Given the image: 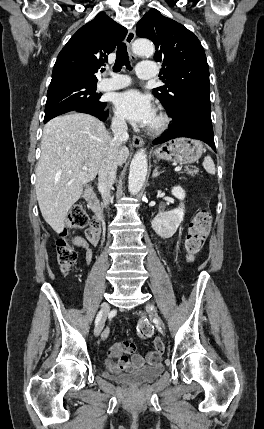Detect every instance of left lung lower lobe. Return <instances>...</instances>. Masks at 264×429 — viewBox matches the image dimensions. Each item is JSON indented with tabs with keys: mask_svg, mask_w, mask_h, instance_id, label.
Listing matches in <instances>:
<instances>
[{
	"mask_svg": "<svg viewBox=\"0 0 264 429\" xmlns=\"http://www.w3.org/2000/svg\"><path fill=\"white\" fill-rule=\"evenodd\" d=\"M173 119L169 130L155 139L153 144L164 143L178 137H188L206 142L216 151L212 128L210 102L184 101L179 112L167 113Z\"/></svg>",
	"mask_w": 264,
	"mask_h": 429,
	"instance_id": "1",
	"label": "left lung lower lobe"
}]
</instances>
